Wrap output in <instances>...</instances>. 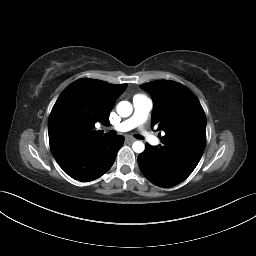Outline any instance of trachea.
<instances>
[{
    "label": "trachea",
    "instance_id": "1",
    "mask_svg": "<svg viewBox=\"0 0 256 256\" xmlns=\"http://www.w3.org/2000/svg\"><path fill=\"white\" fill-rule=\"evenodd\" d=\"M109 135L114 136V135H116V132L111 130V131H109ZM135 137L137 139H143V137L141 135H136Z\"/></svg>",
    "mask_w": 256,
    "mask_h": 256
}]
</instances>
